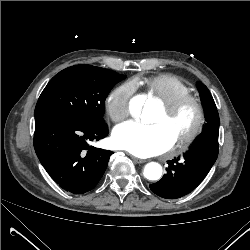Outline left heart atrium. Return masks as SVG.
I'll return each instance as SVG.
<instances>
[{"label":"left heart atrium","mask_w":250,"mask_h":250,"mask_svg":"<svg viewBox=\"0 0 250 250\" xmlns=\"http://www.w3.org/2000/svg\"><path fill=\"white\" fill-rule=\"evenodd\" d=\"M175 140L160 124L127 121L118 125L112 134L113 146L135 156L148 157L170 149Z\"/></svg>","instance_id":"39dd6f15"}]
</instances>
